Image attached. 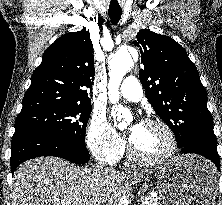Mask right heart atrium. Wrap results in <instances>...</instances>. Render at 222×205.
Returning <instances> with one entry per match:
<instances>
[{
  "label": "right heart atrium",
  "mask_w": 222,
  "mask_h": 205,
  "mask_svg": "<svg viewBox=\"0 0 222 205\" xmlns=\"http://www.w3.org/2000/svg\"><path fill=\"white\" fill-rule=\"evenodd\" d=\"M86 141L91 153L106 163L116 161L122 155L125 146L104 115L99 113H94L89 120Z\"/></svg>",
  "instance_id": "1"
}]
</instances>
